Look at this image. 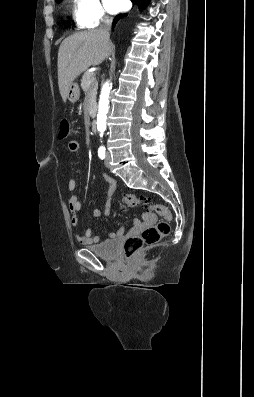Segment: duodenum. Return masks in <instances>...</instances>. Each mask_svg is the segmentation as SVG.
<instances>
[{"instance_id": "duodenum-1", "label": "duodenum", "mask_w": 254, "mask_h": 397, "mask_svg": "<svg viewBox=\"0 0 254 397\" xmlns=\"http://www.w3.org/2000/svg\"><path fill=\"white\" fill-rule=\"evenodd\" d=\"M90 128L92 130V132H96L97 131V121L96 119H93L91 124H90Z\"/></svg>"}]
</instances>
